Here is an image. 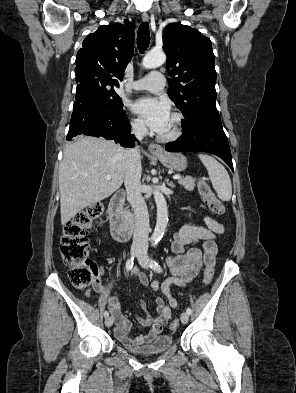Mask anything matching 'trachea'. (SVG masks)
<instances>
[{
	"instance_id": "trachea-1",
	"label": "trachea",
	"mask_w": 296,
	"mask_h": 393,
	"mask_svg": "<svg viewBox=\"0 0 296 393\" xmlns=\"http://www.w3.org/2000/svg\"><path fill=\"white\" fill-rule=\"evenodd\" d=\"M150 44V33L149 24L147 22L142 23L139 26L137 33V45L141 53H143Z\"/></svg>"
}]
</instances>
